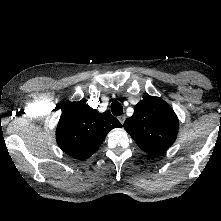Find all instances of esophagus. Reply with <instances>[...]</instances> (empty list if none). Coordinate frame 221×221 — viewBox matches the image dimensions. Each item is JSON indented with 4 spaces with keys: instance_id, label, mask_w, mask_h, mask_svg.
I'll list each match as a JSON object with an SVG mask.
<instances>
[{
    "instance_id": "1",
    "label": "esophagus",
    "mask_w": 221,
    "mask_h": 221,
    "mask_svg": "<svg viewBox=\"0 0 221 221\" xmlns=\"http://www.w3.org/2000/svg\"><path fill=\"white\" fill-rule=\"evenodd\" d=\"M118 120L120 121L121 124H124L125 120H126V116L125 115H121L118 117Z\"/></svg>"
}]
</instances>
